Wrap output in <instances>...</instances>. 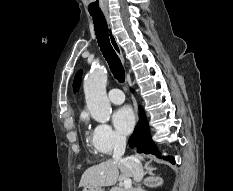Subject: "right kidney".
<instances>
[{"label":"right kidney","mask_w":233,"mask_h":191,"mask_svg":"<svg viewBox=\"0 0 233 191\" xmlns=\"http://www.w3.org/2000/svg\"><path fill=\"white\" fill-rule=\"evenodd\" d=\"M163 184V179L160 177H156L153 179L152 183L150 184V186L152 187H157V186H161Z\"/></svg>","instance_id":"1"}]
</instances>
